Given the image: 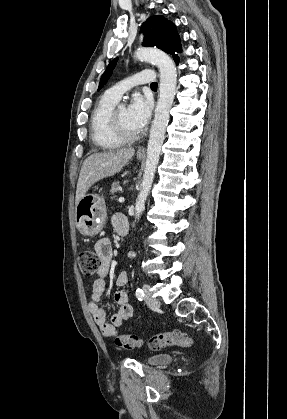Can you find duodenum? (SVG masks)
<instances>
[{
    "label": "duodenum",
    "mask_w": 287,
    "mask_h": 419,
    "mask_svg": "<svg viewBox=\"0 0 287 419\" xmlns=\"http://www.w3.org/2000/svg\"><path fill=\"white\" fill-rule=\"evenodd\" d=\"M129 231V226L128 224H122L121 226H119L117 228V233L119 234V236L124 237L127 235Z\"/></svg>",
    "instance_id": "1"
}]
</instances>
